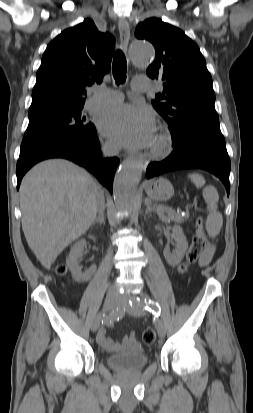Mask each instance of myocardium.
<instances>
[{"mask_svg": "<svg viewBox=\"0 0 253 413\" xmlns=\"http://www.w3.org/2000/svg\"><path fill=\"white\" fill-rule=\"evenodd\" d=\"M172 149L173 141L169 131L164 127H160L150 147V155L155 158H164L172 152Z\"/></svg>", "mask_w": 253, "mask_h": 413, "instance_id": "f54148a6", "label": "myocardium"}]
</instances>
